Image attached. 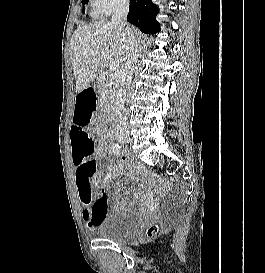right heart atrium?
<instances>
[{
  "instance_id": "d8ad5b80",
  "label": "right heart atrium",
  "mask_w": 265,
  "mask_h": 273,
  "mask_svg": "<svg viewBox=\"0 0 265 273\" xmlns=\"http://www.w3.org/2000/svg\"><path fill=\"white\" fill-rule=\"evenodd\" d=\"M90 3L96 15H109L117 9L126 7L129 0H90Z\"/></svg>"
}]
</instances>
